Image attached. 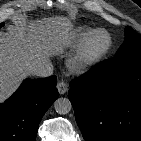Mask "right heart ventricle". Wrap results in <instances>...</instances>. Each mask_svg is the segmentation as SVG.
<instances>
[{
    "label": "right heart ventricle",
    "mask_w": 141,
    "mask_h": 141,
    "mask_svg": "<svg viewBox=\"0 0 141 141\" xmlns=\"http://www.w3.org/2000/svg\"><path fill=\"white\" fill-rule=\"evenodd\" d=\"M94 29L88 26H79L74 29L67 40L69 47H77L87 37V35Z\"/></svg>",
    "instance_id": "e07e8e85"
}]
</instances>
